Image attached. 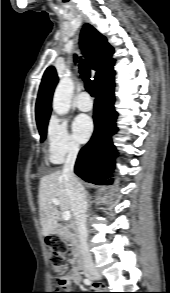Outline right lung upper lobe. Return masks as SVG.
I'll use <instances>...</instances> for the list:
<instances>
[{"instance_id":"right-lung-upper-lobe-1","label":"right lung upper lobe","mask_w":170,"mask_h":293,"mask_svg":"<svg viewBox=\"0 0 170 293\" xmlns=\"http://www.w3.org/2000/svg\"><path fill=\"white\" fill-rule=\"evenodd\" d=\"M83 53L92 69L96 70L95 84L99 85L108 77L115 75L111 58L114 50L92 25L85 24L80 36ZM76 59V56H75ZM58 82L56 70L53 66L46 69L39 88L36 102V121L38 129L47 126L51 113V100L54 88Z\"/></svg>"}]
</instances>
